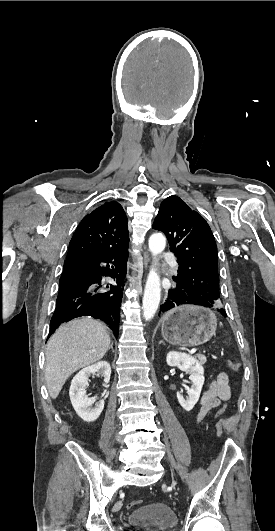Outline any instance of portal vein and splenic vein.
Masks as SVG:
<instances>
[{
  "instance_id": "18ae733b",
  "label": "portal vein and splenic vein",
  "mask_w": 275,
  "mask_h": 531,
  "mask_svg": "<svg viewBox=\"0 0 275 531\" xmlns=\"http://www.w3.org/2000/svg\"><path fill=\"white\" fill-rule=\"evenodd\" d=\"M192 355H195V349L191 350Z\"/></svg>"
}]
</instances>
